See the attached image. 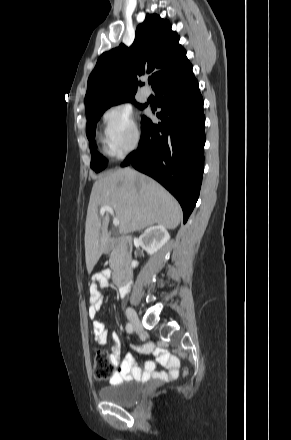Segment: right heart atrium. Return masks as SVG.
Instances as JSON below:
<instances>
[{
    "label": "right heart atrium",
    "mask_w": 291,
    "mask_h": 440,
    "mask_svg": "<svg viewBox=\"0 0 291 440\" xmlns=\"http://www.w3.org/2000/svg\"><path fill=\"white\" fill-rule=\"evenodd\" d=\"M103 122L105 144L113 156L123 157L137 147L140 134L129 106L110 108L105 112Z\"/></svg>",
    "instance_id": "right-heart-atrium-1"
}]
</instances>
